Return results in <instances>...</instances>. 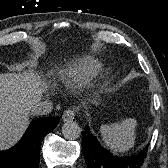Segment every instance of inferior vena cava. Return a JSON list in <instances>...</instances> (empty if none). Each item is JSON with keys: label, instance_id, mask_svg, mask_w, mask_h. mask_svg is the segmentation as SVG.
Masks as SVG:
<instances>
[{"label": "inferior vena cava", "instance_id": "1", "mask_svg": "<svg viewBox=\"0 0 168 168\" xmlns=\"http://www.w3.org/2000/svg\"><path fill=\"white\" fill-rule=\"evenodd\" d=\"M53 109V104L51 101H44L36 104L31 109L32 115H46L49 114Z\"/></svg>", "mask_w": 168, "mask_h": 168}]
</instances>
